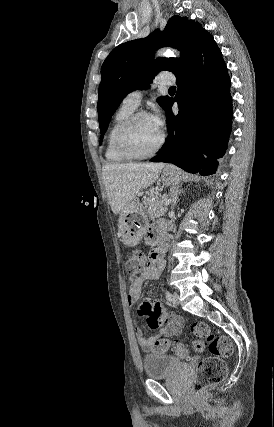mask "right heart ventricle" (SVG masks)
Segmentation results:
<instances>
[{"label": "right heart ventricle", "mask_w": 274, "mask_h": 427, "mask_svg": "<svg viewBox=\"0 0 274 427\" xmlns=\"http://www.w3.org/2000/svg\"><path fill=\"white\" fill-rule=\"evenodd\" d=\"M134 110L121 107L115 114L105 141V157L109 163L124 164L129 159L117 146V135L123 123L133 114Z\"/></svg>", "instance_id": "obj_1"}]
</instances>
